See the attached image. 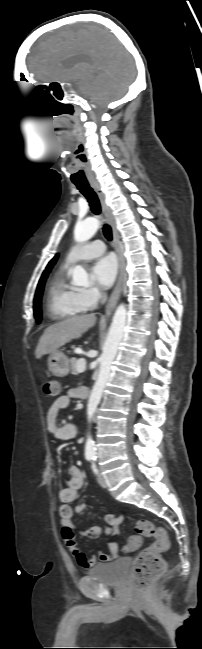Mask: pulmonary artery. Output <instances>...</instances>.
Here are the masks:
<instances>
[{
	"instance_id": "pulmonary-artery-1",
	"label": "pulmonary artery",
	"mask_w": 202,
	"mask_h": 649,
	"mask_svg": "<svg viewBox=\"0 0 202 649\" xmlns=\"http://www.w3.org/2000/svg\"><path fill=\"white\" fill-rule=\"evenodd\" d=\"M105 251V245L101 240L73 246L67 254L66 262L74 263L83 259H90L101 255Z\"/></svg>"
}]
</instances>
